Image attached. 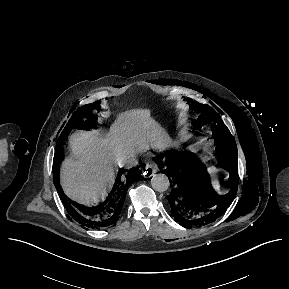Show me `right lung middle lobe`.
<instances>
[{"label":"right lung middle lobe","instance_id":"1","mask_svg":"<svg viewBox=\"0 0 289 289\" xmlns=\"http://www.w3.org/2000/svg\"><path fill=\"white\" fill-rule=\"evenodd\" d=\"M99 107V102H95L78 108L73 113L72 117L68 121L60 136H65L64 140H66L72 127L82 129L93 127L97 120V116L94 115L93 112L95 109L99 110Z\"/></svg>","mask_w":289,"mask_h":289}]
</instances>
